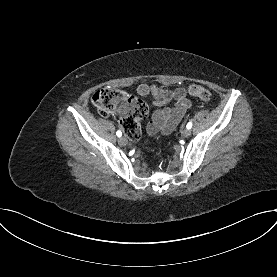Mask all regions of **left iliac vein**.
I'll list each match as a JSON object with an SVG mask.
<instances>
[{"label":"left iliac vein","mask_w":277,"mask_h":277,"mask_svg":"<svg viewBox=\"0 0 277 277\" xmlns=\"http://www.w3.org/2000/svg\"><path fill=\"white\" fill-rule=\"evenodd\" d=\"M182 135H183L184 137L190 136V135H191L190 129H188V128L183 129V130H182Z\"/></svg>","instance_id":"obj_1"}]
</instances>
